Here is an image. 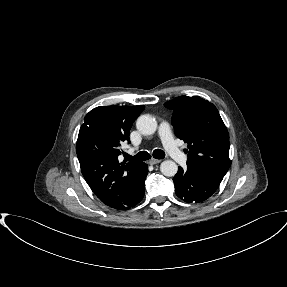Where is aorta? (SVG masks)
I'll return each instance as SVG.
<instances>
[{"label":"aorta","instance_id":"762f6f07","mask_svg":"<svg viewBox=\"0 0 287 287\" xmlns=\"http://www.w3.org/2000/svg\"><path fill=\"white\" fill-rule=\"evenodd\" d=\"M136 127L142 134L152 135L157 129V121L149 114L141 115L137 119ZM160 171L163 175L172 177L176 175L178 166L172 160H165L160 165Z\"/></svg>","mask_w":287,"mask_h":287}]
</instances>
